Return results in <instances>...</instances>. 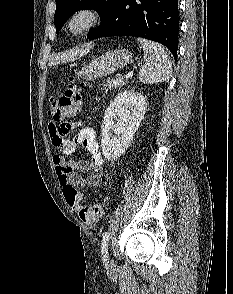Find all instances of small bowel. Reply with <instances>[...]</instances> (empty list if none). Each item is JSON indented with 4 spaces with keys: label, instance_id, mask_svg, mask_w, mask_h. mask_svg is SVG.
<instances>
[{
    "label": "small bowel",
    "instance_id": "1",
    "mask_svg": "<svg viewBox=\"0 0 233 294\" xmlns=\"http://www.w3.org/2000/svg\"><path fill=\"white\" fill-rule=\"evenodd\" d=\"M54 121H58L55 120ZM73 131L71 120H62L60 127L53 122L49 125L52 145L59 151L53 157L58 180L63 189L71 186L75 189H88L99 186L103 179L104 160L100 152L95 131L83 126L73 139H67L65 133ZM77 145H82L90 155L89 160L66 159Z\"/></svg>",
    "mask_w": 233,
    "mask_h": 294
}]
</instances>
